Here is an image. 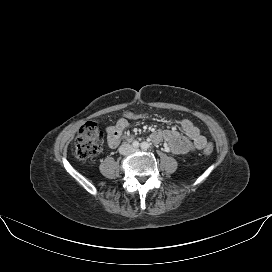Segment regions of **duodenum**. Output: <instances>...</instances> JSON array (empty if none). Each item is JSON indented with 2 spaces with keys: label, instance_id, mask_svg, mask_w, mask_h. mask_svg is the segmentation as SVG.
<instances>
[{
  "label": "duodenum",
  "instance_id": "410a0bca",
  "mask_svg": "<svg viewBox=\"0 0 272 272\" xmlns=\"http://www.w3.org/2000/svg\"><path fill=\"white\" fill-rule=\"evenodd\" d=\"M121 137H122V136H121ZM123 138H124V139H131L132 137L129 136V135H125V136H123Z\"/></svg>",
  "mask_w": 272,
  "mask_h": 272
}]
</instances>
